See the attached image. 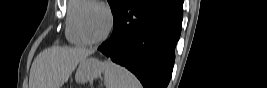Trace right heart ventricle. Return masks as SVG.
Wrapping results in <instances>:
<instances>
[{
  "label": "right heart ventricle",
  "instance_id": "1",
  "mask_svg": "<svg viewBox=\"0 0 267 88\" xmlns=\"http://www.w3.org/2000/svg\"><path fill=\"white\" fill-rule=\"evenodd\" d=\"M92 2V0H71L68 2L65 35L73 45L84 46L87 44L79 34L77 19L80 12Z\"/></svg>",
  "mask_w": 267,
  "mask_h": 88
}]
</instances>
